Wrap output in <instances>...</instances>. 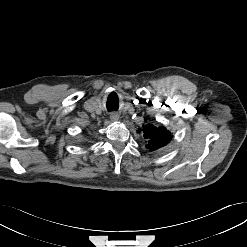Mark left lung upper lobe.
Instances as JSON below:
<instances>
[{"mask_svg": "<svg viewBox=\"0 0 247 247\" xmlns=\"http://www.w3.org/2000/svg\"><path fill=\"white\" fill-rule=\"evenodd\" d=\"M143 137L147 139V148L151 151L165 146L171 140V133L165 127H155L152 124L144 126Z\"/></svg>", "mask_w": 247, "mask_h": 247, "instance_id": "left-lung-upper-lobe-1", "label": "left lung upper lobe"}]
</instances>
